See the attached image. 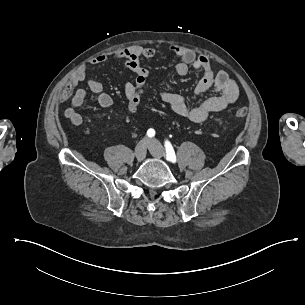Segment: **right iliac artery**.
<instances>
[{
    "label": "right iliac artery",
    "mask_w": 305,
    "mask_h": 305,
    "mask_svg": "<svg viewBox=\"0 0 305 305\" xmlns=\"http://www.w3.org/2000/svg\"><path fill=\"white\" fill-rule=\"evenodd\" d=\"M147 135L148 137H153L155 135V130L150 128L148 131H147Z\"/></svg>",
    "instance_id": "82829eb1"
}]
</instances>
